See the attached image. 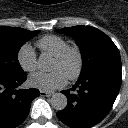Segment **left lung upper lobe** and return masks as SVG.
<instances>
[{"mask_svg":"<svg viewBox=\"0 0 128 128\" xmlns=\"http://www.w3.org/2000/svg\"><path fill=\"white\" fill-rule=\"evenodd\" d=\"M56 31L75 37L83 60L80 77L86 75L98 65L107 63L121 65L118 48L105 33L97 28L81 25Z\"/></svg>","mask_w":128,"mask_h":128,"instance_id":"obj_1","label":"left lung upper lobe"}]
</instances>
